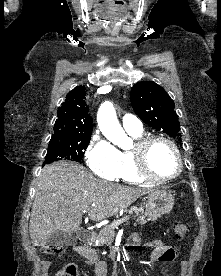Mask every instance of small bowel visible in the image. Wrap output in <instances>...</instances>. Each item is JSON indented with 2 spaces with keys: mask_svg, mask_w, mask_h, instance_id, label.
I'll list each match as a JSON object with an SVG mask.
<instances>
[{
  "mask_svg": "<svg viewBox=\"0 0 221 276\" xmlns=\"http://www.w3.org/2000/svg\"><path fill=\"white\" fill-rule=\"evenodd\" d=\"M131 242L133 245H138L140 243V239L138 236H133L131 238ZM152 248L151 253V260L152 261H173L176 256L177 252L171 246L164 244L160 240H154L146 244ZM75 252L86 258L88 264L91 266L92 272L94 276H106V265L104 261L100 260L96 251L89 247L84 246H76Z\"/></svg>",
  "mask_w": 221,
  "mask_h": 276,
  "instance_id": "c3829d8e",
  "label": "small bowel"
}]
</instances>
